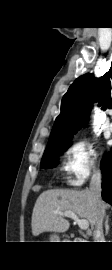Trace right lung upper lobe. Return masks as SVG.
Segmentation results:
<instances>
[{"instance_id": "right-lung-upper-lobe-1", "label": "right lung upper lobe", "mask_w": 112, "mask_h": 270, "mask_svg": "<svg viewBox=\"0 0 112 270\" xmlns=\"http://www.w3.org/2000/svg\"><path fill=\"white\" fill-rule=\"evenodd\" d=\"M112 64L100 78L85 74L69 87L61 102V112L56 118L48 145L67 142L88 122L93 101L105 110L112 108Z\"/></svg>"}]
</instances>
